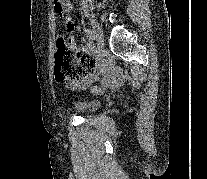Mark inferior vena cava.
<instances>
[{
  "label": "inferior vena cava",
  "instance_id": "602c4592",
  "mask_svg": "<svg viewBox=\"0 0 207 179\" xmlns=\"http://www.w3.org/2000/svg\"><path fill=\"white\" fill-rule=\"evenodd\" d=\"M87 0H82V2H86Z\"/></svg>",
  "mask_w": 207,
  "mask_h": 179
}]
</instances>
